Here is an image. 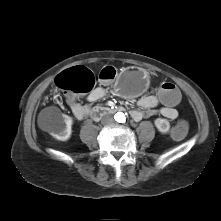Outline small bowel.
<instances>
[{"instance_id":"obj_1","label":"small bowel","mask_w":221,"mask_h":221,"mask_svg":"<svg viewBox=\"0 0 221 221\" xmlns=\"http://www.w3.org/2000/svg\"><path fill=\"white\" fill-rule=\"evenodd\" d=\"M105 95L106 90L103 87H97L87 95V100L89 103H94L103 99ZM67 101L77 119L81 120L89 115V112L91 111L90 105L81 104L74 96H67ZM137 104L139 109H133L130 111V115L135 121H140L143 118H148L158 113L168 120H175L178 117V111L175 107L167 108L162 105V107L157 110L159 104L162 103L159 99L152 95L140 97Z\"/></svg>"}]
</instances>
